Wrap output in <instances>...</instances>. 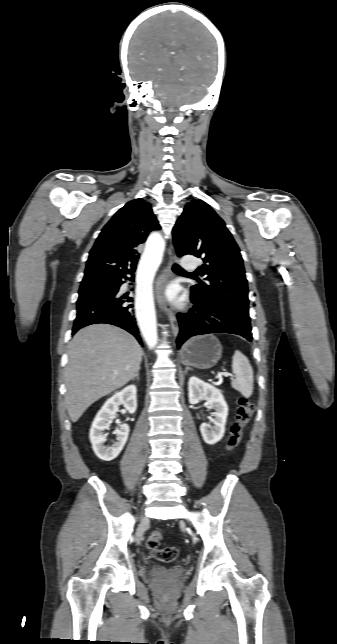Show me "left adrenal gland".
<instances>
[{"mask_svg":"<svg viewBox=\"0 0 337 644\" xmlns=\"http://www.w3.org/2000/svg\"><path fill=\"white\" fill-rule=\"evenodd\" d=\"M188 370H189V368H186V369H185V371H184V375H186V374H187Z\"/></svg>","mask_w":337,"mask_h":644,"instance_id":"1","label":"left adrenal gland"}]
</instances>
